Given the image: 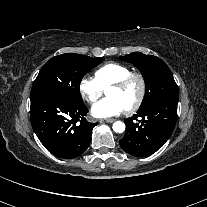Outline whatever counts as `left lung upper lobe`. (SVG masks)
<instances>
[{"mask_svg": "<svg viewBox=\"0 0 207 207\" xmlns=\"http://www.w3.org/2000/svg\"><path fill=\"white\" fill-rule=\"evenodd\" d=\"M120 59L134 64L145 79L146 93L139 110L162 98H178L177 84L162 59L152 55H144L141 52L121 56Z\"/></svg>", "mask_w": 207, "mask_h": 207, "instance_id": "obj_1", "label": "left lung upper lobe"}]
</instances>
